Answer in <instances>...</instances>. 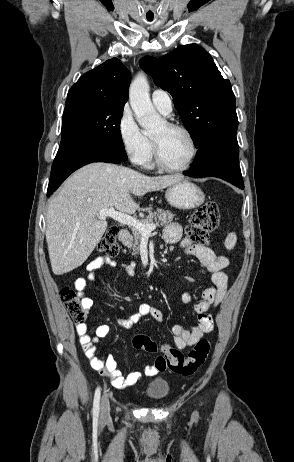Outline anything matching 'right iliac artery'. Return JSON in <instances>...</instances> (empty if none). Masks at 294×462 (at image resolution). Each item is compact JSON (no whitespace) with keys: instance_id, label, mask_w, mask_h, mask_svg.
I'll return each mask as SVG.
<instances>
[{"instance_id":"82829eb1","label":"right iliac artery","mask_w":294,"mask_h":462,"mask_svg":"<svg viewBox=\"0 0 294 462\" xmlns=\"http://www.w3.org/2000/svg\"><path fill=\"white\" fill-rule=\"evenodd\" d=\"M100 395H101V391H100V388L98 387L94 394V402H93V417L94 418H97L99 415Z\"/></svg>"}]
</instances>
